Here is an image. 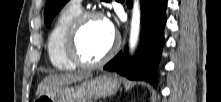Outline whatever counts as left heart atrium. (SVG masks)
Wrapping results in <instances>:
<instances>
[{
    "label": "left heart atrium",
    "mask_w": 221,
    "mask_h": 102,
    "mask_svg": "<svg viewBox=\"0 0 221 102\" xmlns=\"http://www.w3.org/2000/svg\"><path fill=\"white\" fill-rule=\"evenodd\" d=\"M104 25H105V28L107 30V32L114 37V32H115V29H114V25L113 23L109 20V19H104Z\"/></svg>",
    "instance_id": "left-heart-atrium-1"
}]
</instances>
